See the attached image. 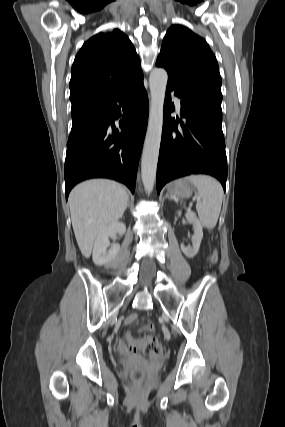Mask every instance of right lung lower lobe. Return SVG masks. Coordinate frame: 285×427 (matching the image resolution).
<instances>
[{
  "instance_id": "98d812e1",
  "label": "right lung lower lobe",
  "mask_w": 285,
  "mask_h": 427,
  "mask_svg": "<svg viewBox=\"0 0 285 427\" xmlns=\"http://www.w3.org/2000/svg\"><path fill=\"white\" fill-rule=\"evenodd\" d=\"M121 116L116 126L114 120ZM147 119L143 77L72 111L64 167L66 200L77 183L90 178L117 180L134 193Z\"/></svg>"
}]
</instances>
